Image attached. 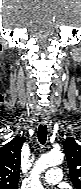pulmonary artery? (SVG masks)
<instances>
[{
	"mask_svg": "<svg viewBox=\"0 0 81 189\" xmlns=\"http://www.w3.org/2000/svg\"><path fill=\"white\" fill-rule=\"evenodd\" d=\"M61 178L62 171L59 168H51L45 173L43 181L47 184L55 185L61 181Z\"/></svg>",
	"mask_w": 81,
	"mask_h": 189,
	"instance_id": "obj_1",
	"label": "pulmonary artery"
}]
</instances>
